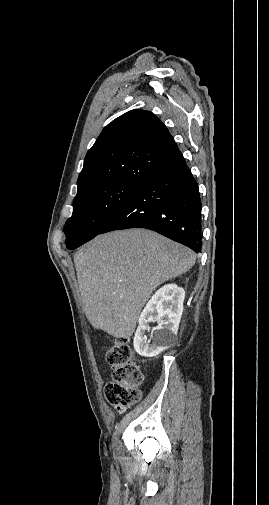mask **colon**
I'll use <instances>...</instances> for the list:
<instances>
[{"label": "colon", "instance_id": "1", "mask_svg": "<svg viewBox=\"0 0 269 505\" xmlns=\"http://www.w3.org/2000/svg\"><path fill=\"white\" fill-rule=\"evenodd\" d=\"M106 360L111 367V381L105 386V398L110 405L124 411L139 402L141 370L133 358L127 339L116 340L107 348Z\"/></svg>", "mask_w": 269, "mask_h": 505}]
</instances>
